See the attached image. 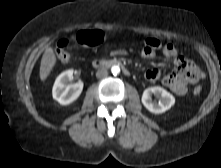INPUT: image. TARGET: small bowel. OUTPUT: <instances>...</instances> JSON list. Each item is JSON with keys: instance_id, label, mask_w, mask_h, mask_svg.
<instances>
[{"instance_id": "c3829d8e", "label": "small bowel", "mask_w": 221, "mask_h": 168, "mask_svg": "<svg viewBox=\"0 0 221 168\" xmlns=\"http://www.w3.org/2000/svg\"><path fill=\"white\" fill-rule=\"evenodd\" d=\"M161 48V47H160ZM163 53L168 59H174L176 69L171 73L162 76L158 68H151L146 71L145 77L149 81L161 80L162 84L168 87L177 95H184L188 91V83L196 82L202 77L201 70L184 57H177V51L172 44H166L163 47ZM112 54L125 55V50H116ZM155 55V50L144 46L142 57L151 59Z\"/></svg>"}]
</instances>
